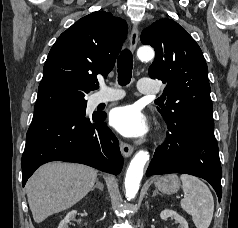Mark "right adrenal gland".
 Here are the masks:
<instances>
[{"instance_id": "right-adrenal-gland-1", "label": "right adrenal gland", "mask_w": 238, "mask_h": 228, "mask_svg": "<svg viewBox=\"0 0 238 228\" xmlns=\"http://www.w3.org/2000/svg\"><path fill=\"white\" fill-rule=\"evenodd\" d=\"M95 188H98L100 191H103L104 185L99 181V179L96 180V184L91 190L93 191Z\"/></svg>"}]
</instances>
